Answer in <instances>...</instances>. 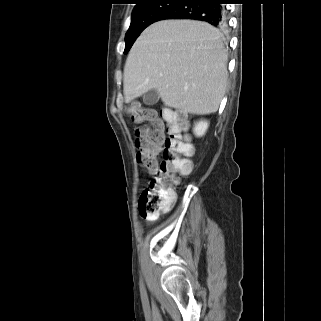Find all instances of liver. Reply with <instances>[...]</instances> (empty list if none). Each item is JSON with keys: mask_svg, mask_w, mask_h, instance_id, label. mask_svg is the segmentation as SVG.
Listing matches in <instances>:
<instances>
[{"mask_svg": "<svg viewBox=\"0 0 321 321\" xmlns=\"http://www.w3.org/2000/svg\"><path fill=\"white\" fill-rule=\"evenodd\" d=\"M227 53L208 23L164 20L146 28L124 67L125 102L156 89L165 105L182 112L215 113L225 94Z\"/></svg>", "mask_w": 321, "mask_h": 321, "instance_id": "1", "label": "liver"}]
</instances>
